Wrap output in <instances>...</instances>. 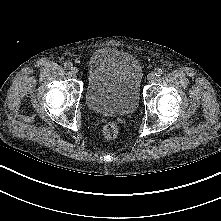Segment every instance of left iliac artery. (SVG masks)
Segmentation results:
<instances>
[{
  "mask_svg": "<svg viewBox=\"0 0 221 221\" xmlns=\"http://www.w3.org/2000/svg\"><path fill=\"white\" fill-rule=\"evenodd\" d=\"M154 72H155V75L158 76V77L163 74V70L160 69V68H156Z\"/></svg>",
  "mask_w": 221,
  "mask_h": 221,
  "instance_id": "left-iliac-artery-1",
  "label": "left iliac artery"
}]
</instances>
